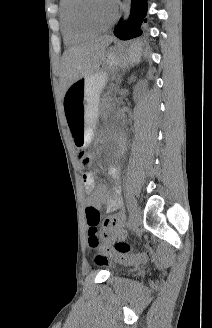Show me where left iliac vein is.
<instances>
[{
  "label": "left iliac vein",
  "instance_id": "obj_1",
  "mask_svg": "<svg viewBox=\"0 0 212 328\" xmlns=\"http://www.w3.org/2000/svg\"><path fill=\"white\" fill-rule=\"evenodd\" d=\"M141 220H142V215L140 210L137 207H134L131 214L130 227L132 229H136L140 225Z\"/></svg>",
  "mask_w": 212,
  "mask_h": 328
}]
</instances>
